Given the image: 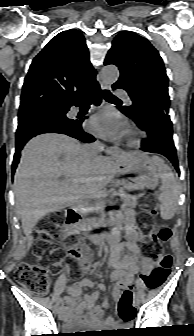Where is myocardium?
Returning <instances> with one entry per match:
<instances>
[{"mask_svg": "<svg viewBox=\"0 0 194 336\" xmlns=\"http://www.w3.org/2000/svg\"><path fill=\"white\" fill-rule=\"evenodd\" d=\"M126 143L130 147H138L145 139V133L134 125H130L126 131Z\"/></svg>", "mask_w": 194, "mask_h": 336, "instance_id": "1", "label": "myocardium"}]
</instances>
